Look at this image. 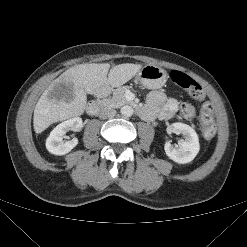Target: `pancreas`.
<instances>
[{
    "mask_svg": "<svg viewBox=\"0 0 247 247\" xmlns=\"http://www.w3.org/2000/svg\"><path fill=\"white\" fill-rule=\"evenodd\" d=\"M128 89L129 87H122V88L116 89L113 92L112 97H108L100 101L102 106L107 107V108H119L129 103V101L125 98V95H124L126 90Z\"/></svg>",
    "mask_w": 247,
    "mask_h": 247,
    "instance_id": "cf45deb5",
    "label": "pancreas"
}]
</instances>
